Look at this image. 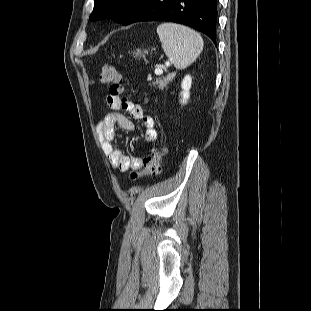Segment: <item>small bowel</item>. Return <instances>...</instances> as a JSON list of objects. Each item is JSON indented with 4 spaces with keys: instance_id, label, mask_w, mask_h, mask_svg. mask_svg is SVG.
<instances>
[{
    "instance_id": "1",
    "label": "small bowel",
    "mask_w": 311,
    "mask_h": 311,
    "mask_svg": "<svg viewBox=\"0 0 311 311\" xmlns=\"http://www.w3.org/2000/svg\"><path fill=\"white\" fill-rule=\"evenodd\" d=\"M106 103L111 111L104 114L96 129L111 166L121 172L140 170L143 167V158L126 156L115 145L116 127L118 126L124 130L134 129L133 123L123 113V111H127L134 118L142 120L145 126V141L152 143L158 137L156 119L153 116L144 114L139 104L120 96L109 94L106 97Z\"/></svg>"
}]
</instances>
